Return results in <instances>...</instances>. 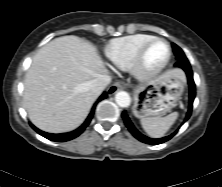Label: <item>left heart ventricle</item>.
Returning a JSON list of instances; mask_svg holds the SVG:
<instances>
[{
  "label": "left heart ventricle",
  "instance_id": "obj_1",
  "mask_svg": "<svg viewBox=\"0 0 222 187\" xmlns=\"http://www.w3.org/2000/svg\"><path fill=\"white\" fill-rule=\"evenodd\" d=\"M168 53L167 46L164 43H155L149 50L146 57V65L149 68H155L159 66Z\"/></svg>",
  "mask_w": 222,
  "mask_h": 187
}]
</instances>
